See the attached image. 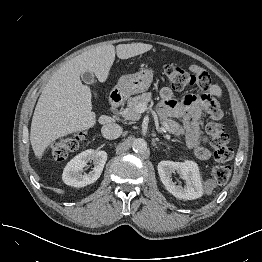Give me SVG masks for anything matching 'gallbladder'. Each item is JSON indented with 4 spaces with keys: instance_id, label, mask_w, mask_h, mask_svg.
<instances>
[{
    "instance_id": "gallbladder-1",
    "label": "gallbladder",
    "mask_w": 262,
    "mask_h": 262,
    "mask_svg": "<svg viewBox=\"0 0 262 262\" xmlns=\"http://www.w3.org/2000/svg\"><path fill=\"white\" fill-rule=\"evenodd\" d=\"M81 78L82 80L86 83V84H93L95 81V77L94 74L91 72H84L81 74Z\"/></svg>"
}]
</instances>
